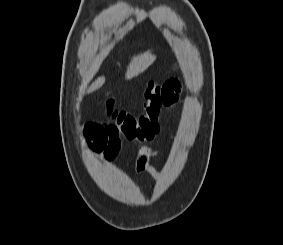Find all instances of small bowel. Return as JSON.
<instances>
[{"label": "small bowel", "instance_id": "small-bowel-1", "mask_svg": "<svg viewBox=\"0 0 283 245\" xmlns=\"http://www.w3.org/2000/svg\"><path fill=\"white\" fill-rule=\"evenodd\" d=\"M181 82L177 78H169L162 83L163 107L171 109L178 100L181 92ZM86 145L93 153L97 154L104 161L113 160L121 148V136L112 124L109 123H88L85 126ZM160 150L152 146H142L137 153L134 173L140 175L147 173L158 179L161 173L152 166V159L160 154ZM131 162L129 156L126 160L128 166Z\"/></svg>", "mask_w": 283, "mask_h": 245}]
</instances>
